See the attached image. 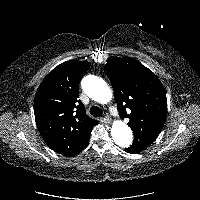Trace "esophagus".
I'll return each mask as SVG.
<instances>
[{"label":"esophagus","mask_w":200,"mask_h":200,"mask_svg":"<svg viewBox=\"0 0 200 200\" xmlns=\"http://www.w3.org/2000/svg\"><path fill=\"white\" fill-rule=\"evenodd\" d=\"M104 120L108 123L111 121L110 117L107 114L104 116Z\"/></svg>","instance_id":"obj_1"}]
</instances>
